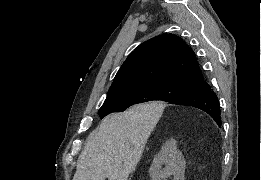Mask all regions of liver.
I'll list each match as a JSON object with an SVG mask.
<instances>
[{
	"instance_id": "1",
	"label": "liver",
	"mask_w": 261,
	"mask_h": 180,
	"mask_svg": "<svg viewBox=\"0 0 261 180\" xmlns=\"http://www.w3.org/2000/svg\"><path fill=\"white\" fill-rule=\"evenodd\" d=\"M158 104H137L106 116L87 138L73 180H128L157 124Z\"/></svg>"
}]
</instances>
